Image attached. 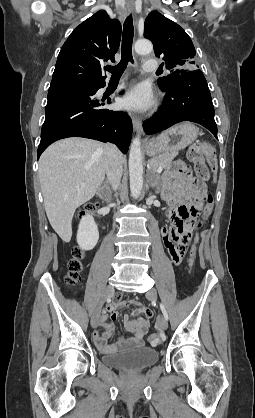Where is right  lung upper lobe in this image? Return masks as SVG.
Listing matches in <instances>:
<instances>
[{
    "mask_svg": "<svg viewBox=\"0 0 255 418\" xmlns=\"http://www.w3.org/2000/svg\"><path fill=\"white\" fill-rule=\"evenodd\" d=\"M121 38V24L100 10L77 26L63 44L50 88L105 81L104 62L114 60Z\"/></svg>",
    "mask_w": 255,
    "mask_h": 418,
    "instance_id": "1",
    "label": "right lung upper lobe"
}]
</instances>
